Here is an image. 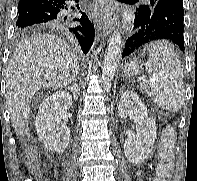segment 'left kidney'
<instances>
[{
  "label": "left kidney",
  "mask_w": 197,
  "mask_h": 181,
  "mask_svg": "<svg viewBox=\"0 0 197 181\" xmlns=\"http://www.w3.org/2000/svg\"><path fill=\"white\" fill-rule=\"evenodd\" d=\"M118 116H133L136 122V134L124 142L125 157L129 162L138 165L144 162L153 149L156 139L155 120L149 116L148 110L139 96L133 91L122 94L118 105Z\"/></svg>",
  "instance_id": "1"
}]
</instances>
